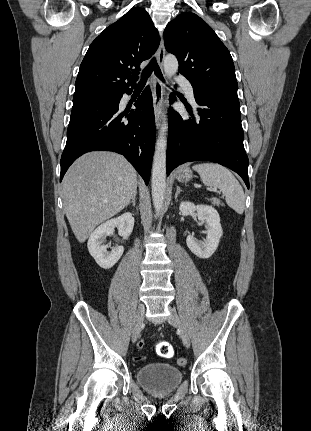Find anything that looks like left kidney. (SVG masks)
I'll list each match as a JSON object with an SVG mask.
<instances>
[{"instance_id": "1", "label": "left kidney", "mask_w": 311, "mask_h": 431, "mask_svg": "<svg viewBox=\"0 0 311 431\" xmlns=\"http://www.w3.org/2000/svg\"><path fill=\"white\" fill-rule=\"evenodd\" d=\"M179 212L182 216H189L193 212H197L198 219L205 221L207 235L204 241H199L194 235H187L186 243L198 257L207 259L216 251L220 237L223 235V229L220 223V216L212 206H195L192 202H181Z\"/></svg>"}]
</instances>
